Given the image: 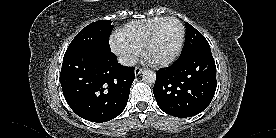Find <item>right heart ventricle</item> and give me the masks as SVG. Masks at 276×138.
Instances as JSON below:
<instances>
[{
    "instance_id": "obj_1",
    "label": "right heart ventricle",
    "mask_w": 276,
    "mask_h": 138,
    "mask_svg": "<svg viewBox=\"0 0 276 138\" xmlns=\"http://www.w3.org/2000/svg\"><path fill=\"white\" fill-rule=\"evenodd\" d=\"M165 17H154L126 24L118 33L119 40L141 50L153 28Z\"/></svg>"
}]
</instances>
